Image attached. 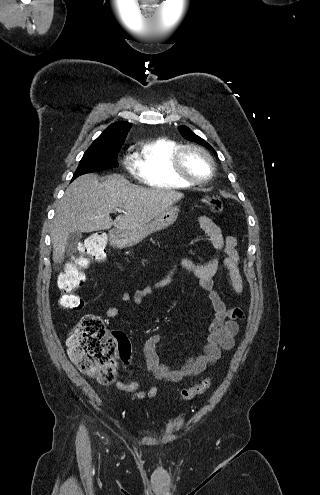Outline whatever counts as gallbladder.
I'll return each instance as SVG.
<instances>
[{
	"mask_svg": "<svg viewBox=\"0 0 320 495\" xmlns=\"http://www.w3.org/2000/svg\"><path fill=\"white\" fill-rule=\"evenodd\" d=\"M81 238H82V234L79 231L72 232L68 235L67 243H66L67 254L71 255L75 253L76 246Z\"/></svg>",
	"mask_w": 320,
	"mask_h": 495,
	"instance_id": "1",
	"label": "gallbladder"
}]
</instances>
